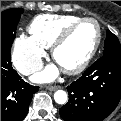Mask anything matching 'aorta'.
<instances>
[{
	"label": "aorta",
	"mask_w": 121,
	"mask_h": 121,
	"mask_svg": "<svg viewBox=\"0 0 121 121\" xmlns=\"http://www.w3.org/2000/svg\"><path fill=\"white\" fill-rule=\"evenodd\" d=\"M54 100L58 104H65L67 102V100H68V95L63 90H57L54 93Z\"/></svg>",
	"instance_id": "1"
}]
</instances>
